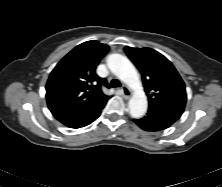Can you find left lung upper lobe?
<instances>
[{"label": "left lung upper lobe", "mask_w": 222, "mask_h": 187, "mask_svg": "<svg viewBox=\"0 0 222 187\" xmlns=\"http://www.w3.org/2000/svg\"><path fill=\"white\" fill-rule=\"evenodd\" d=\"M125 52L142 75L149 107H185V84L166 57L151 48L126 47Z\"/></svg>", "instance_id": "5c2ea615"}]
</instances>
